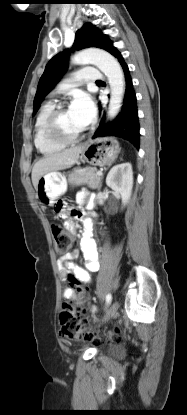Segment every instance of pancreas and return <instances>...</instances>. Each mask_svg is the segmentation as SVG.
<instances>
[{
	"label": "pancreas",
	"instance_id": "1",
	"mask_svg": "<svg viewBox=\"0 0 187 415\" xmlns=\"http://www.w3.org/2000/svg\"><path fill=\"white\" fill-rule=\"evenodd\" d=\"M101 179L102 177L97 174L95 167L74 171L68 176V181L72 186L87 185L91 189H99Z\"/></svg>",
	"mask_w": 187,
	"mask_h": 415
}]
</instances>
